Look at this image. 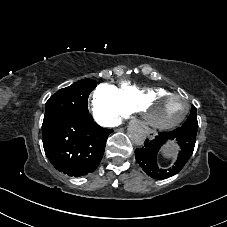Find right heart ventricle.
I'll return each instance as SVG.
<instances>
[{"mask_svg":"<svg viewBox=\"0 0 227 227\" xmlns=\"http://www.w3.org/2000/svg\"><path fill=\"white\" fill-rule=\"evenodd\" d=\"M120 99L128 113L139 111L142 103L150 96L168 92L163 87H142L130 82H122L118 86Z\"/></svg>","mask_w":227,"mask_h":227,"instance_id":"obj_1","label":"right heart ventricle"}]
</instances>
